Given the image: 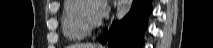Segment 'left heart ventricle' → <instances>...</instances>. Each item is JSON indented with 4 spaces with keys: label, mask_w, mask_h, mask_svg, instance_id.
<instances>
[{
    "label": "left heart ventricle",
    "mask_w": 213,
    "mask_h": 48,
    "mask_svg": "<svg viewBox=\"0 0 213 48\" xmlns=\"http://www.w3.org/2000/svg\"><path fill=\"white\" fill-rule=\"evenodd\" d=\"M94 3L93 2H86L85 7H84V13L88 16V18L92 21H96V18L94 16Z\"/></svg>",
    "instance_id": "obj_1"
}]
</instances>
